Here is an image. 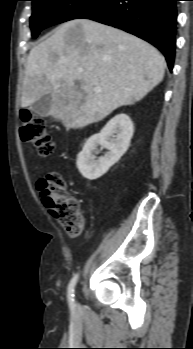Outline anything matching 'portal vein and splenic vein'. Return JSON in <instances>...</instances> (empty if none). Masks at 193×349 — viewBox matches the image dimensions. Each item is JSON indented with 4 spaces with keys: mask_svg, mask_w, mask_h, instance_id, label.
<instances>
[{
    "mask_svg": "<svg viewBox=\"0 0 193 349\" xmlns=\"http://www.w3.org/2000/svg\"><path fill=\"white\" fill-rule=\"evenodd\" d=\"M78 71H79V72H82V69H79ZM96 90H98V89L96 88Z\"/></svg>",
    "mask_w": 193,
    "mask_h": 349,
    "instance_id": "obj_1",
    "label": "portal vein and splenic vein"
}]
</instances>
